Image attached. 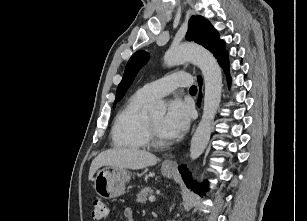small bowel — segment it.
Here are the masks:
<instances>
[{
    "label": "small bowel",
    "instance_id": "obj_1",
    "mask_svg": "<svg viewBox=\"0 0 307 221\" xmlns=\"http://www.w3.org/2000/svg\"><path fill=\"white\" fill-rule=\"evenodd\" d=\"M124 216L127 221H133V215H132V211L130 208L126 207L124 209Z\"/></svg>",
    "mask_w": 307,
    "mask_h": 221
}]
</instances>
